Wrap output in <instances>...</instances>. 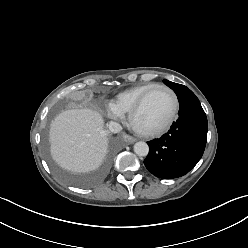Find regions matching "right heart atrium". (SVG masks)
I'll use <instances>...</instances> for the list:
<instances>
[{"label":"right heart atrium","instance_id":"obj_1","mask_svg":"<svg viewBox=\"0 0 248 248\" xmlns=\"http://www.w3.org/2000/svg\"><path fill=\"white\" fill-rule=\"evenodd\" d=\"M109 115H110L111 117H113V118H116V119H118V118L121 117L118 113H116V112L113 110L112 107H110V109H109Z\"/></svg>","mask_w":248,"mask_h":248}]
</instances>
